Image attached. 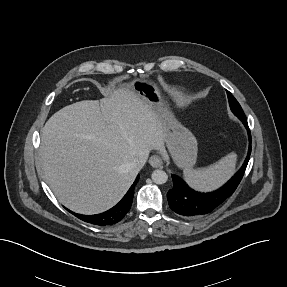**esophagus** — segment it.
<instances>
[{"label":"esophagus","mask_w":287,"mask_h":287,"mask_svg":"<svg viewBox=\"0 0 287 287\" xmlns=\"http://www.w3.org/2000/svg\"><path fill=\"white\" fill-rule=\"evenodd\" d=\"M149 163L154 168H159L163 165L162 159L158 155L151 156L149 159Z\"/></svg>","instance_id":"34e87169"}]
</instances>
